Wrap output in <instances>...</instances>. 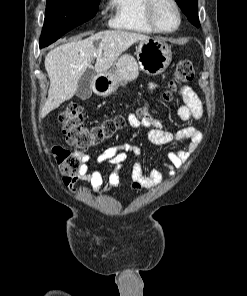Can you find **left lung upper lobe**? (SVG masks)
<instances>
[{
    "label": "left lung upper lobe",
    "instance_id": "1",
    "mask_svg": "<svg viewBox=\"0 0 247 296\" xmlns=\"http://www.w3.org/2000/svg\"><path fill=\"white\" fill-rule=\"evenodd\" d=\"M188 20L196 27H200L197 13V0H176Z\"/></svg>",
    "mask_w": 247,
    "mask_h": 296
}]
</instances>
